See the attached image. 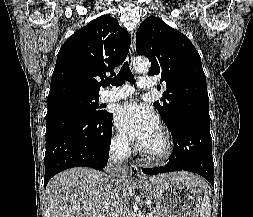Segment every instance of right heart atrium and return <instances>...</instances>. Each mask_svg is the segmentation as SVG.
Here are the masks:
<instances>
[{
  "instance_id": "d8ad5b80",
  "label": "right heart atrium",
  "mask_w": 253,
  "mask_h": 217,
  "mask_svg": "<svg viewBox=\"0 0 253 217\" xmlns=\"http://www.w3.org/2000/svg\"><path fill=\"white\" fill-rule=\"evenodd\" d=\"M113 145L114 148L121 152L127 153L129 149V141L127 137L122 133H117L113 138Z\"/></svg>"
}]
</instances>
